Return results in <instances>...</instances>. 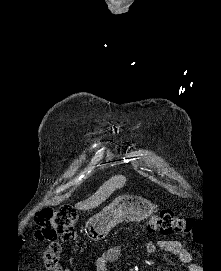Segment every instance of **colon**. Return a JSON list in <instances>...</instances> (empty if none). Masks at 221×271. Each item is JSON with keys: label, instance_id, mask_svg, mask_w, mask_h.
I'll use <instances>...</instances> for the list:
<instances>
[{"label": "colon", "instance_id": "5ec220e1", "mask_svg": "<svg viewBox=\"0 0 221 271\" xmlns=\"http://www.w3.org/2000/svg\"><path fill=\"white\" fill-rule=\"evenodd\" d=\"M77 217L76 210L68 204L58 207L45 206L34 214L35 238L49 241L41 254L43 264L49 271L64 270L59 263L61 243L71 241L75 237L74 225ZM148 227L151 232L178 233L197 238L200 235L201 223L192 217L160 211L148 222Z\"/></svg>", "mask_w": 221, "mask_h": 271}]
</instances>
